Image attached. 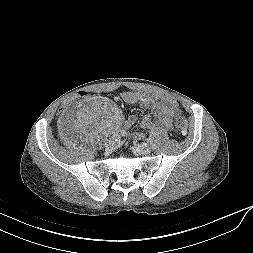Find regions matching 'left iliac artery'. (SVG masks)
<instances>
[{"label": "left iliac artery", "instance_id": "1", "mask_svg": "<svg viewBox=\"0 0 253 253\" xmlns=\"http://www.w3.org/2000/svg\"><path fill=\"white\" fill-rule=\"evenodd\" d=\"M147 143H148V144H152V143H153L152 138H148V139H147Z\"/></svg>", "mask_w": 253, "mask_h": 253}]
</instances>
